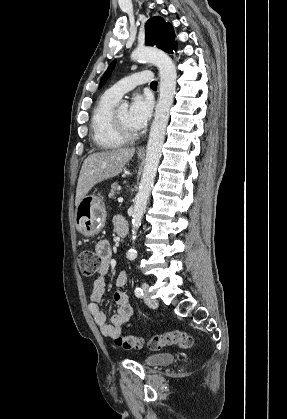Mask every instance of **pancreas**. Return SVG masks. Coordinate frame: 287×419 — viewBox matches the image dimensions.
<instances>
[{
  "label": "pancreas",
  "instance_id": "cf45deb5",
  "mask_svg": "<svg viewBox=\"0 0 287 419\" xmlns=\"http://www.w3.org/2000/svg\"><path fill=\"white\" fill-rule=\"evenodd\" d=\"M118 188H119L118 183H117V182H114V183L111 185V190H110V193L108 194V196H109V197H114L115 193H117V192H118Z\"/></svg>",
  "mask_w": 287,
  "mask_h": 419
}]
</instances>
